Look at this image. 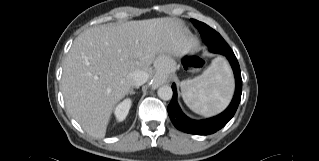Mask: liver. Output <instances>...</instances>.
<instances>
[{
	"label": "liver",
	"mask_w": 319,
	"mask_h": 161,
	"mask_svg": "<svg viewBox=\"0 0 319 161\" xmlns=\"http://www.w3.org/2000/svg\"><path fill=\"white\" fill-rule=\"evenodd\" d=\"M193 42L176 18L89 28L74 40L64 61L61 86L68 113L88 134L103 138L115 105L131 89L129 74L151 75L158 55H182Z\"/></svg>",
	"instance_id": "1"
}]
</instances>
